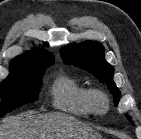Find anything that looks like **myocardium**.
Instances as JSON below:
<instances>
[{"instance_id": "obj_1", "label": "myocardium", "mask_w": 141, "mask_h": 139, "mask_svg": "<svg viewBox=\"0 0 141 139\" xmlns=\"http://www.w3.org/2000/svg\"><path fill=\"white\" fill-rule=\"evenodd\" d=\"M90 104L96 114H104L109 108V98L103 91L92 89L90 92Z\"/></svg>"}]
</instances>
